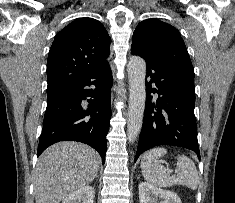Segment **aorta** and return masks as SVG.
<instances>
[{
	"label": "aorta",
	"mask_w": 235,
	"mask_h": 203,
	"mask_svg": "<svg viewBox=\"0 0 235 203\" xmlns=\"http://www.w3.org/2000/svg\"><path fill=\"white\" fill-rule=\"evenodd\" d=\"M127 72L129 80L127 136L129 142H134L141 131L145 109V60L139 56L130 57Z\"/></svg>",
	"instance_id": "1"
}]
</instances>
